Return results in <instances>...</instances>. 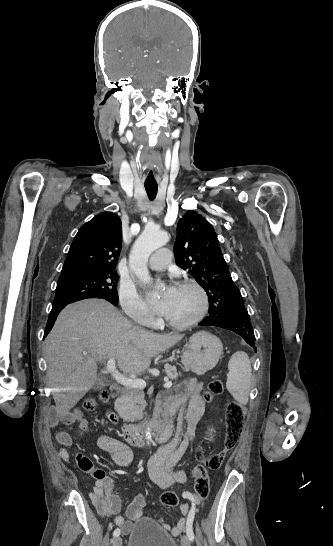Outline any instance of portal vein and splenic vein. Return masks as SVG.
<instances>
[{"label":"portal vein and splenic vein","instance_id":"18ae733b","mask_svg":"<svg viewBox=\"0 0 333 546\" xmlns=\"http://www.w3.org/2000/svg\"><path fill=\"white\" fill-rule=\"evenodd\" d=\"M107 370L112 374L113 378L118 382L119 384L123 386H130L134 388H145L146 382L141 378H130L127 376H124L116 369V360L115 358H110L107 362ZM172 386V382L169 381L167 378L165 379V388H170Z\"/></svg>","mask_w":333,"mask_h":546}]
</instances>
